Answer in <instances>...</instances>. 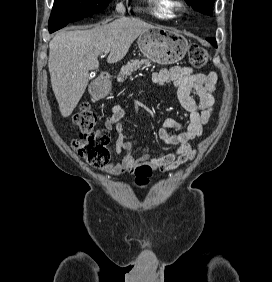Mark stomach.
Here are the masks:
<instances>
[{
	"mask_svg": "<svg viewBox=\"0 0 272 282\" xmlns=\"http://www.w3.org/2000/svg\"><path fill=\"white\" fill-rule=\"evenodd\" d=\"M137 43L145 57L164 65L182 60L188 49V41L183 35L163 26L140 34Z\"/></svg>",
	"mask_w": 272,
	"mask_h": 282,
	"instance_id": "1",
	"label": "stomach"
}]
</instances>
